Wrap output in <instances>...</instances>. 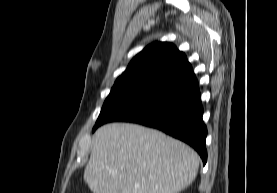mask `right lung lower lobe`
<instances>
[{
	"mask_svg": "<svg viewBox=\"0 0 277 193\" xmlns=\"http://www.w3.org/2000/svg\"><path fill=\"white\" fill-rule=\"evenodd\" d=\"M195 75L147 94L107 122L126 121L159 129L192 146L207 162V128ZM106 122V123H107Z\"/></svg>",
	"mask_w": 277,
	"mask_h": 193,
	"instance_id": "98d812e1",
	"label": "right lung lower lobe"
}]
</instances>
